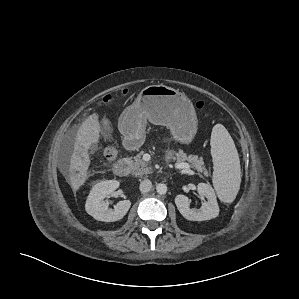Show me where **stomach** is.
<instances>
[{
  "label": "stomach",
  "instance_id": "1",
  "mask_svg": "<svg viewBox=\"0 0 299 299\" xmlns=\"http://www.w3.org/2000/svg\"><path fill=\"white\" fill-rule=\"evenodd\" d=\"M147 121L166 126L173 139L182 144H189L197 132L198 120L191 100L183 92L165 85L142 89L120 117L130 137L143 133Z\"/></svg>",
  "mask_w": 299,
  "mask_h": 299
}]
</instances>
